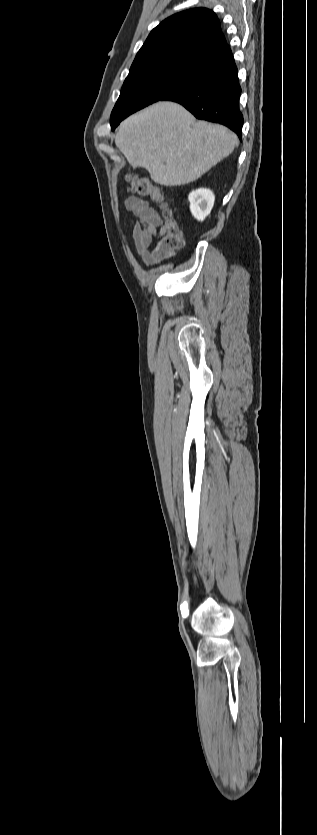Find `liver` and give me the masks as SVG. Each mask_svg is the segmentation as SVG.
<instances>
[{"label": "liver", "mask_w": 317, "mask_h": 835, "mask_svg": "<svg viewBox=\"0 0 317 835\" xmlns=\"http://www.w3.org/2000/svg\"><path fill=\"white\" fill-rule=\"evenodd\" d=\"M228 128L196 121L181 105L160 101L125 119L115 144L134 167L145 168L161 185L192 182L234 150Z\"/></svg>", "instance_id": "liver-1"}]
</instances>
